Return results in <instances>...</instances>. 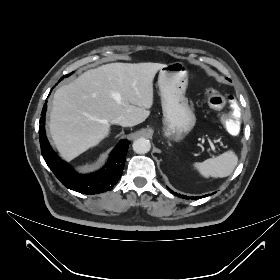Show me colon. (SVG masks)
<instances>
[{"instance_id":"5ec220e1","label":"colon","mask_w":280,"mask_h":280,"mask_svg":"<svg viewBox=\"0 0 280 280\" xmlns=\"http://www.w3.org/2000/svg\"><path fill=\"white\" fill-rule=\"evenodd\" d=\"M206 98L209 106L215 110H222L226 102L232 105L228 109V114L221 113L218 115L217 122L219 125L227 129L230 136H239L241 133L240 123L242 121V116L240 107L234 105V96L231 94L224 96L217 90L210 88L206 93Z\"/></svg>"}]
</instances>
